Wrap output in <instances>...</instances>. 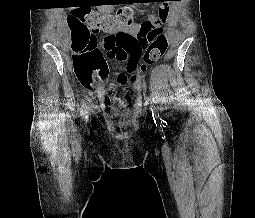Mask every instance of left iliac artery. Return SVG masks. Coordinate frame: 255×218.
Instances as JSON below:
<instances>
[{
	"instance_id": "44dca946",
	"label": "left iliac artery",
	"mask_w": 255,
	"mask_h": 218,
	"mask_svg": "<svg viewBox=\"0 0 255 218\" xmlns=\"http://www.w3.org/2000/svg\"><path fill=\"white\" fill-rule=\"evenodd\" d=\"M151 111H152L153 116L154 115L156 116L158 114L157 109H156L155 106H151Z\"/></svg>"
}]
</instances>
